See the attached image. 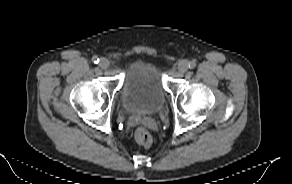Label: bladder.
<instances>
[{
  "label": "bladder",
  "mask_w": 292,
  "mask_h": 184,
  "mask_svg": "<svg viewBox=\"0 0 292 184\" xmlns=\"http://www.w3.org/2000/svg\"><path fill=\"white\" fill-rule=\"evenodd\" d=\"M167 91L159 68L146 60H137L126 71L120 102L128 113L151 114L163 106Z\"/></svg>",
  "instance_id": "bladder-1"
}]
</instances>
